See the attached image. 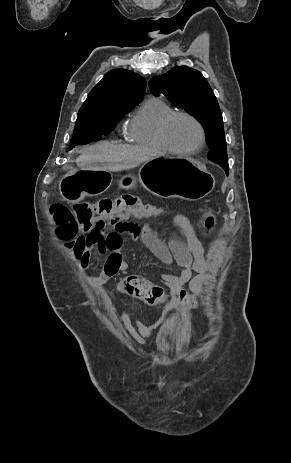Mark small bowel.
<instances>
[{
	"label": "small bowel",
	"instance_id": "small-bowel-1",
	"mask_svg": "<svg viewBox=\"0 0 291 463\" xmlns=\"http://www.w3.org/2000/svg\"><path fill=\"white\" fill-rule=\"evenodd\" d=\"M133 216L135 214L132 212L131 217ZM131 217H115L111 220L110 228L86 232L74 241L71 247L73 258L79 261L82 269L88 266L92 250H97L106 256L101 274L96 278L88 279L87 283L90 285L103 283L130 268L129 262L122 253V237L124 234H129L134 239L140 238L165 267H171L173 262L182 267L179 275L160 272L155 277L171 290L182 306L198 308L199 298L210 283V270L193 222L188 219L187 222L180 223L175 214L173 221L180 228L183 241L171 238L165 243L149 225L140 227L129 222ZM186 285L188 290L184 288ZM134 327L137 332L145 331L139 328L137 323Z\"/></svg>",
	"mask_w": 291,
	"mask_h": 463
}]
</instances>
